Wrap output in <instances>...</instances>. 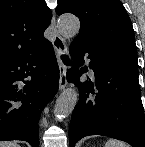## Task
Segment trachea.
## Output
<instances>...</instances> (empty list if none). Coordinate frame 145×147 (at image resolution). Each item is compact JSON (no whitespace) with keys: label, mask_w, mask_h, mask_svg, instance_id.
<instances>
[{"label":"trachea","mask_w":145,"mask_h":147,"mask_svg":"<svg viewBox=\"0 0 145 147\" xmlns=\"http://www.w3.org/2000/svg\"><path fill=\"white\" fill-rule=\"evenodd\" d=\"M61 58H62V60H63V62H64L65 64H69V63H70V60L68 59L67 56L62 55Z\"/></svg>","instance_id":"3493384b"}]
</instances>
